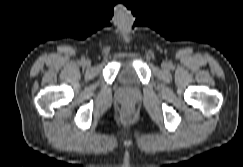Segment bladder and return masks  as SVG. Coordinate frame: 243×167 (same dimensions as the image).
<instances>
[{"label":"bladder","mask_w":243,"mask_h":167,"mask_svg":"<svg viewBox=\"0 0 243 167\" xmlns=\"http://www.w3.org/2000/svg\"><path fill=\"white\" fill-rule=\"evenodd\" d=\"M119 81L123 85H130L137 81L135 68L130 65L123 66L118 73Z\"/></svg>","instance_id":"31cf9c89"}]
</instances>
